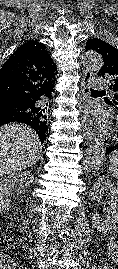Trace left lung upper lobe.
I'll return each mask as SVG.
<instances>
[{
	"label": "left lung upper lobe",
	"instance_id": "5c2ea615",
	"mask_svg": "<svg viewBox=\"0 0 118 269\" xmlns=\"http://www.w3.org/2000/svg\"><path fill=\"white\" fill-rule=\"evenodd\" d=\"M85 49L86 51H96L102 56L104 64L99 70L98 75L110 77L109 88L113 91V99L105 98V102L118 109V50L97 38L87 41Z\"/></svg>",
	"mask_w": 118,
	"mask_h": 269
}]
</instances>
